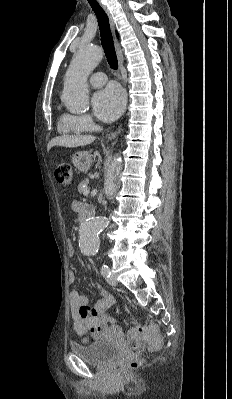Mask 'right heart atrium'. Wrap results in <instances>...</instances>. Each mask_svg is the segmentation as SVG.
I'll list each match as a JSON object with an SVG mask.
<instances>
[{
	"mask_svg": "<svg viewBox=\"0 0 232 399\" xmlns=\"http://www.w3.org/2000/svg\"><path fill=\"white\" fill-rule=\"evenodd\" d=\"M67 104H76V103H67ZM80 122L87 128L91 129L94 126L93 119L90 115L76 116Z\"/></svg>",
	"mask_w": 232,
	"mask_h": 399,
	"instance_id": "d8ad5b80",
	"label": "right heart atrium"
}]
</instances>
